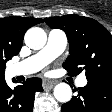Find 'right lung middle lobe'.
Segmentation results:
<instances>
[{"mask_svg":"<svg viewBox=\"0 0 112 112\" xmlns=\"http://www.w3.org/2000/svg\"><path fill=\"white\" fill-rule=\"evenodd\" d=\"M14 55L8 56L6 59H0V75H4L5 67H6V62L10 60Z\"/></svg>","mask_w":112,"mask_h":112,"instance_id":"1","label":"right lung middle lobe"}]
</instances>
